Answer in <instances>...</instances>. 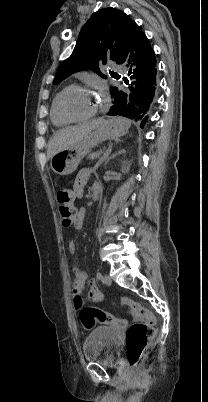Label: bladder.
I'll return each mask as SVG.
<instances>
[{
  "label": "bladder",
  "mask_w": 208,
  "mask_h": 402,
  "mask_svg": "<svg viewBox=\"0 0 208 402\" xmlns=\"http://www.w3.org/2000/svg\"><path fill=\"white\" fill-rule=\"evenodd\" d=\"M120 345L117 329L109 326L96 327L84 342V358L112 363Z\"/></svg>",
  "instance_id": "bladder-1"
}]
</instances>
